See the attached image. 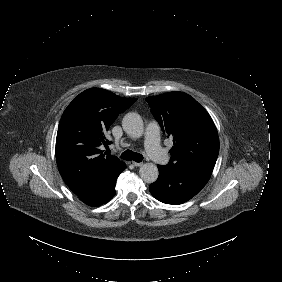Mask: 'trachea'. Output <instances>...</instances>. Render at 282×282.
I'll return each instance as SVG.
<instances>
[{"label": "trachea", "instance_id": "3493384b", "mask_svg": "<svg viewBox=\"0 0 282 282\" xmlns=\"http://www.w3.org/2000/svg\"><path fill=\"white\" fill-rule=\"evenodd\" d=\"M123 160L126 161H135V162H141L143 160V156L137 152H133L131 150H126L124 151L121 156H120Z\"/></svg>", "mask_w": 282, "mask_h": 282}]
</instances>
